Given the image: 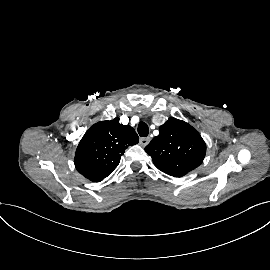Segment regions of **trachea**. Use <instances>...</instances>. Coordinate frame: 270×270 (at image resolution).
<instances>
[{
    "mask_svg": "<svg viewBox=\"0 0 270 270\" xmlns=\"http://www.w3.org/2000/svg\"><path fill=\"white\" fill-rule=\"evenodd\" d=\"M138 133L141 137H146L148 135L149 128L145 122H140L138 124Z\"/></svg>",
    "mask_w": 270,
    "mask_h": 270,
    "instance_id": "obj_1",
    "label": "trachea"
}]
</instances>
